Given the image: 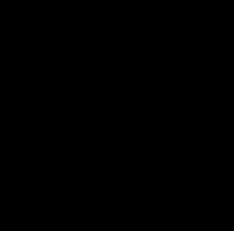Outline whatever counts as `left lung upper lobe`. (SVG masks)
I'll return each mask as SVG.
<instances>
[{
    "label": "left lung upper lobe",
    "mask_w": 234,
    "mask_h": 231,
    "mask_svg": "<svg viewBox=\"0 0 234 231\" xmlns=\"http://www.w3.org/2000/svg\"><path fill=\"white\" fill-rule=\"evenodd\" d=\"M176 60H177V62H179V63L191 64L190 59H189L188 57H186L185 55H183V54L177 53V54H176Z\"/></svg>",
    "instance_id": "left-lung-upper-lobe-1"
}]
</instances>
